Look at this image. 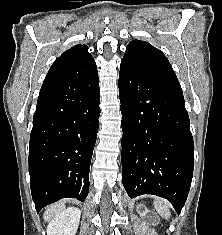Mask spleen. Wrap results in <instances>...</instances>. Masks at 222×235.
Returning a JSON list of instances; mask_svg holds the SVG:
<instances>
[{"label": "spleen", "mask_w": 222, "mask_h": 235, "mask_svg": "<svg viewBox=\"0 0 222 235\" xmlns=\"http://www.w3.org/2000/svg\"><path fill=\"white\" fill-rule=\"evenodd\" d=\"M154 206L160 216L165 219L170 217V204L167 201L159 199L154 202Z\"/></svg>", "instance_id": "1"}]
</instances>
